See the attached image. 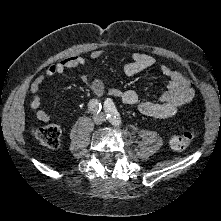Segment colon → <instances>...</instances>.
Returning a JSON list of instances; mask_svg holds the SVG:
<instances>
[{
    "label": "colon",
    "instance_id": "1",
    "mask_svg": "<svg viewBox=\"0 0 221 221\" xmlns=\"http://www.w3.org/2000/svg\"><path fill=\"white\" fill-rule=\"evenodd\" d=\"M35 139L49 149H57L60 145L61 129L56 124H49L37 128L34 131ZM195 137L193 130L184 131L171 136L170 146L173 150L181 151L186 149Z\"/></svg>",
    "mask_w": 221,
    "mask_h": 221
}]
</instances>
